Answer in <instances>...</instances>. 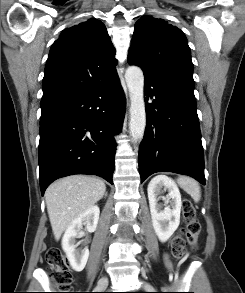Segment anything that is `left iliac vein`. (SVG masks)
Here are the masks:
<instances>
[{"instance_id": "1", "label": "left iliac vein", "mask_w": 245, "mask_h": 293, "mask_svg": "<svg viewBox=\"0 0 245 293\" xmlns=\"http://www.w3.org/2000/svg\"><path fill=\"white\" fill-rule=\"evenodd\" d=\"M143 287H144V289H146V290L152 288V286H151L149 283H145V282L143 283Z\"/></svg>"}]
</instances>
